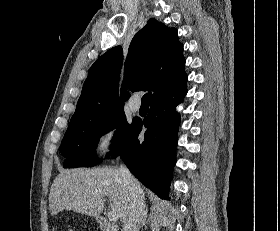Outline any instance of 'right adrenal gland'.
Segmentation results:
<instances>
[{"mask_svg": "<svg viewBox=\"0 0 280 231\" xmlns=\"http://www.w3.org/2000/svg\"><path fill=\"white\" fill-rule=\"evenodd\" d=\"M146 211H148V209H146ZM147 215L145 213L144 217H143V221H142V225H145V219H146Z\"/></svg>", "mask_w": 280, "mask_h": 231, "instance_id": "1", "label": "right adrenal gland"}]
</instances>
